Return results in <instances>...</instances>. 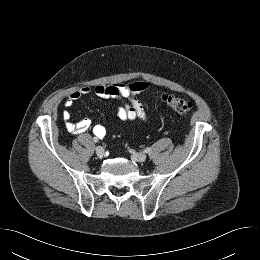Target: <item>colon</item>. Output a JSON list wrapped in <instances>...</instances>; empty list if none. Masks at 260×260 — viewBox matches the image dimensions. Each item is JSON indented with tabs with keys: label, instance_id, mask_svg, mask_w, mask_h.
Masks as SVG:
<instances>
[{
	"label": "colon",
	"instance_id": "obj_1",
	"mask_svg": "<svg viewBox=\"0 0 260 260\" xmlns=\"http://www.w3.org/2000/svg\"><path fill=\"white\" fill-rule=\"evenodd\" d=\"M161 100L178 114H186L193 109L192 102L172 95H162Z\"/></svg>",
	"mask_w": 260,
	"mask_h": 260
}]
</instances>
